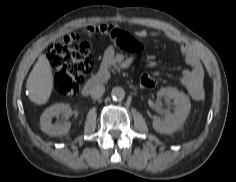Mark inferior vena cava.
Instances as JSON below:
<instances>
[{"label":"inferior vena cava","mask_w":236,"mask_h":182,"mask_svg":"<svg viewBox=\"0 0 236 182\" xmlns=\"http://www.w3.org/2000/svg\"><path fill=\"white\" fill-rule=\"evenodd\" d=\"M105 92V87L102 84H96L91 90V97L99 99Z\"/></svg>","instance_id":"inferior-vena-cava-1"}]
</instances>
